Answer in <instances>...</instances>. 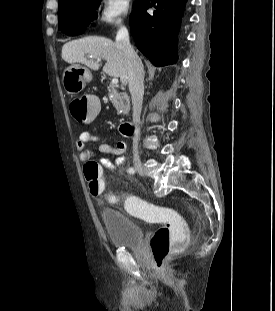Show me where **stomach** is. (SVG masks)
Returning a JSON list of instances; mask_svg holds the SVG:
<instances>
[{"mask_svg": "<svg viewBox=\"0 0 275 311\" xmlns=\"http://www.w3.org/2000/svg\"><path fill=\"white\" fill-rule=\"evenodd\" d=\"M92 79L90 71L82 65L73 64L62 74L64 90L71 95L80 93Z\"/></svg>", "mask_w": 275, "mask_h": 311, "instance_id": "obj_1", "label": "stomach"}]
</instances>
